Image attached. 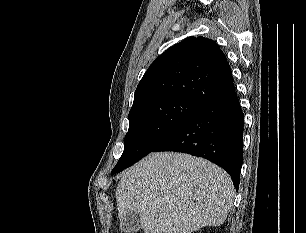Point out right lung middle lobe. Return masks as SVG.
Returning a JSON list of instances; mask_svg holds the SVG:
<instances>
[{
  "instance_id": "obj_1",
  "label": "right lung middle lobe",
  "mask_w": 306,
  "mask_h": 233,
  "mask_svg": "<svg viewBox=\"0 0 306 233\" xmlns=\"http://www.w3.org/2000/svg\"><path fill=\"white\" fill-rule=\"evenodd\" d=\"M202 105L180 97L156 99L129 112L124 152L112 170L116 174L152 152Z\"/></svg>"
}]
</instances>
